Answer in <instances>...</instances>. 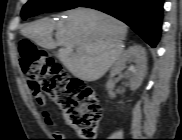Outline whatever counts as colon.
I'll return each instance as SVG.
<instances>
[{"instance_id":"obj_1","label":"colon","mask_w":182,"mask_h":140,"mask_svg":"<svg viewBox=\"0 0 182 140\" xmlns=\"http://www.w3.org/2000/svg\"><path fill=\"white\" fill-rule=\"evenodd\" d=\"M19 62L37 99L55 104L67 126L83 138H94L101 119L95 91L72 77L45 51L29 40L18 44Z\"/></svg>"}]
</instances>
